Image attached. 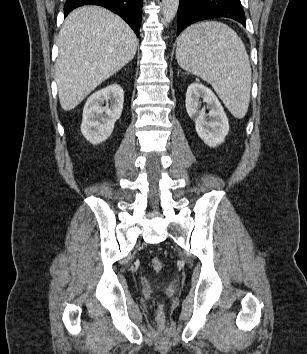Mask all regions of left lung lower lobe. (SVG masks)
I'll return each mask as SVG.
<instances>
[{"label": "left lung lower lobe", "instance_id": "obj_1", "mask_svg": "<svg viewBox=\"0 0 307 354\" xmlns=\"http://www.w3.org/2000/svg\"><path fill=\"white\" fill-rule=\"evenodd\" d=\"M217 17L231 18L246 26L240 0H180L177 34L192 23Z\"/></svg>", "mask_w": 307, "mask_h": 354}]
</instances>
